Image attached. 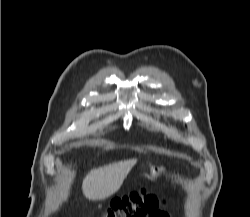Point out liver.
Returning <instances> with one entry per match:
<instances>
[{
    "label": "liver",
    "instance_id": "liver-1",
    "mask_svg": "<svg viewBox=\"0 0 250 217\" xmlns=\"http://www.w3.org/2000/svg\"><path fill=\"white\" fill-rule=\"evenodd\" d=\"M137 159H129L91 170L84 178L82 191L91 201L105 200L122 186Z\"/></svg>",
    "mask_w": 250,
    "mask_h": 217
}]
</instances>
